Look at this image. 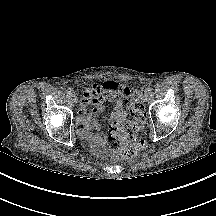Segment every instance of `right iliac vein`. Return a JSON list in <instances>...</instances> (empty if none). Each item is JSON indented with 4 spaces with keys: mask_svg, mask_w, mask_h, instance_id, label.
<instances>
[{
    "mask_svg": "<svg viewBox=\"0 0 216 216\" xmlns=\"http://www.w3.org/2000/svg\"><path fill=\"white\" fill-rule=\"evenodd\" d=\"M72 101H73L74 103H77V102H78V98H77L76 95H73V96H72Z\"/></svg>",
    "mask_w": 216,
    "mask_h": 216,
    "instance_id": "63e3f726",
    "label": "right iliac vein"
}]
</instances>
